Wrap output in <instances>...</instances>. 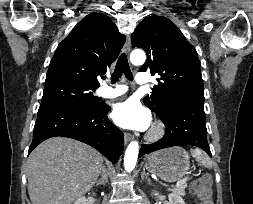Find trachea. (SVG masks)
<instances>
[{"label":"trachea","instance_id":"1","mask_svg":"<svg viewBox=\"0 0 253 204\" xmlns=\"http://www.w3.org/2000/svg\"><path fill=\"white\" fill-rule=\"evenodd\" d=\"M122 73L125 74V76L132 81L133 80V75L132 72L130 70V67L128 65V60H127V56L125 53L121 54V56L119 57L115 70L111 76V82L114 84L118 81V79L121 77Z\"/></svg>","mask_w":253,"mask_h":204}]
</instances>
